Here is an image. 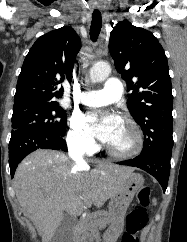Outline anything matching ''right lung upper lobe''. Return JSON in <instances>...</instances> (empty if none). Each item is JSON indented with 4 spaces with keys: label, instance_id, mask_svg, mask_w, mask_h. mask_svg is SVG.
Masks as SVG:
<instances>
[{
    "label": "right lung upper lobe",
    "instance_id": "1",
    "mask_svg": "<svg viewBox=\"0 0 187 242\" xmlns=\"http://www.w3.org/2000/svg\"><path fill=\"white\" fill-rule=\"evenodd\" d=\"M80 38L69 27L53 30L37 39L27 54L16 87L14 106L58 103L64 80L71 82Z\"/></svg>",
    "mask_w": 187,
    "mask_h": 242
}]
</instances>
